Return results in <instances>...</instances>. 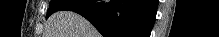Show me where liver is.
<instances>
[{
    "label": "liver",
    "mask_w": 219,
    "mask_h": 37,
    "mask_svg": "<svg viewBox=\"0 0 219 37\" xmlns=\"http://www.w3.org/2000/svg\"><path fill=\"white\" fill-rule=\"evenodd\" d=\"M47 37H98L95 28L81 15L59 11L47 21Z\"/></svg>",
    "instance_id": "1"
}]
</instances>
